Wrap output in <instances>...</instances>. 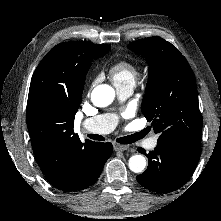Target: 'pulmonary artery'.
<instances>
[{
  "label": "pulmonary artery",
  "instance_id": "e3ab8cb5",
  "mask_svg": "<svg viewBox=\"0 0 221 221\" xmlns=\"http://www.w3.org/2000/svg\"><path fill=\"white\" fill-rule=\"evenodd\" d=\"M117 95L120 100H125L132 94V85H123L116 87ZM117 124V117L113 114H102L91 118H87L83 121V127L92 133L106 134L111 132ZM157 145V137L152 136L147 141L148 148H155Z\"/></svg>",
  "mask_w": 221,
  "mask_h": 221
}]
</instances>
